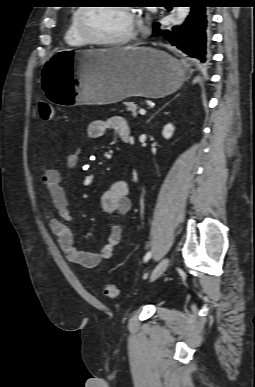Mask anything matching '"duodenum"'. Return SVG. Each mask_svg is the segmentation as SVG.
<instances>
[{"label": "duodenum", "mask_w": 255, "mask_h": 387, "mask_svg": "<svg viewBox=\"0 0 255 387\" xmlns=\"http://www.w3.org/2000/svg\"><path fill=\"white\" fill-rule=\"evenodd\" d=\"M121 139H122V141H124V142H129L130 136H129L128 134H122V135H121Z\"/></svg>", "instance_id": "obj_1"}]
</instances>
